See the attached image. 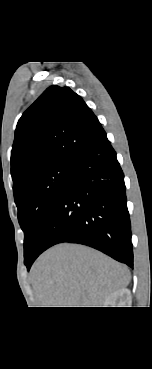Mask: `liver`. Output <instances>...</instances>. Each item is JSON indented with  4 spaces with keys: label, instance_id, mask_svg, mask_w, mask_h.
I'll use <instances>...</instances> for the list:
<instances>
[{
    "label": "liver",
    "instance_id": "1",
    "mask_svg": "<svg viewBox=\"0 0 152 369\" xmlns=\"http://www.w3.org/2000/svg\"><path fill=\"white\" fill-rule=\"evenodd\" d=\"M128 268L101 252L76 244H59L42 254L31 281L42 307H99L125 288Z\"/></svg>",
    "mask_w": 152,
    "mask_h": 369
}]
</instances>
